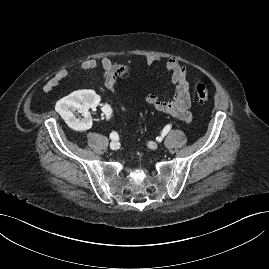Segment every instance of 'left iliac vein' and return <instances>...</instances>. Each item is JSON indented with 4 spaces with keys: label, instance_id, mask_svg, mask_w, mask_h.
<instances>
[{
    "label": "left iliac vein",
    "instance_id": "obj_1",
    "mask_svg": "<svg viewBox=\"0 0 269 269\" xmlns=\"http://www.w3.org/2000/svg\"><path fill=\"white\" fill-rule=\"evenodd\" d=\"M148 146H149L150 148H153V149H156V148L158 147V145H157L156 143H154V142H149V143H148Z\"/></svg>",
    "mask_w": 269,
    "mask_h": 269
}]
</instances>
